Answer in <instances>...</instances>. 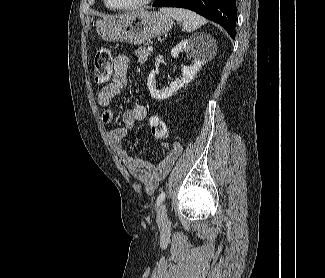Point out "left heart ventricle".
Masks as SVG:
<instances>
[{"mask_svg":"<svg viewBox=\"0 0 325 278\" xmlns=\"http://www.w3.org/2000/svg\"><path fill=\"white\" fill-rule=\"evenodd\" d=\"M110 3L112 5H115V6H124V5H129V4H133V3H136L140 0H109Z\"/></svg>","mask_w":325,"mask_h":278,"instance_id":"b2bd125f","label":"left heart ventricle"}]
</instances>
